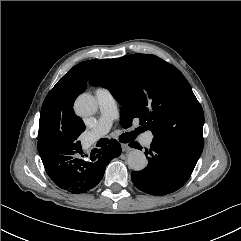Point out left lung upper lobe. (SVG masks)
I'll return each mask as SVG.
<instances>
[{
  "mask_svg": "<svg viewBox=\"0 0 241 241\" xmlns=\"http://www.w3.org/2000/svg\"><path fill=\"white\" fill-rule=\"evenodd\" d=\"M90 84L111 91L121 104V124L138 117L153 139L179 144L202 153V107L183 74L151 54L103 59L91 74Z\"/></svg>",
  "mask_w": 241,
  "mask_h": 241,
  "instance_id": "1",
  "label": "left lung upper lobe"
}]
</instances>
